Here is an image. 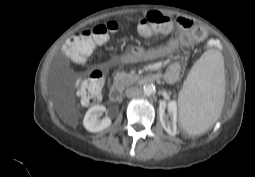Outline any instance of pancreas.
<instances>
[{
  "label": "pancreas",
  "instance_id": "obj_1",
  "mask_svg": "<svg viewBox=\"0 0 255 177\" xmlns=\"http://www.w3.org/2000/svg\"><path fill=\"white\" fill-rule=\"evenodd\" d=\"M138 79V76L132 73H126V72H118L114 76V83L121 86H129L133 84Z\"/></svg>",
  "mask_w": 255,
  "mask_h": 177
}]
</instances>
